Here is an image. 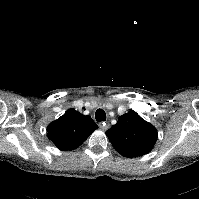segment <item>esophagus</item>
<instances>
[{
	"label": "esophagus",
	"mask_w": 199,
	"mask_h": 199,
	"mask_svg": "<svg viewBox=\"0 0 199 199\" xmlns=\"http://www.w3.org/2000/svg\"><path fill=\"white\" fill-rule=\"evenodd\" d=\"M99 127H100L102 130H107V129H109L110 125H109V123H107V122H101V123H99Z\"/></svg>",
	"instance_id": "obj_1"
}]
</instances>
